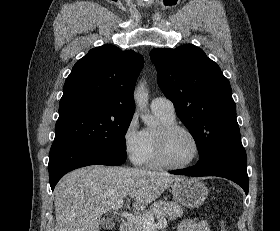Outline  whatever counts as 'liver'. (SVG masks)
Returning <instances> with one entry per match:
<instances>
[{
	"mask_svg": "<svg viewBox=\"0 0 280 231\" xmlns=\"http://www.w3.org/2000/svg\"><path fill=\"white\" fill-rule=\"evenodd\" d=\"M178 177L138 167L74 169L55 187V231H99L103 213L121 207L124 197L130 195L133 209L144 211Z\"/></svg>",
	"mask_w": 280,
	"mask_h": 231,
	"instance_id": "1",
	"label": "liver"
}]
</instances>
